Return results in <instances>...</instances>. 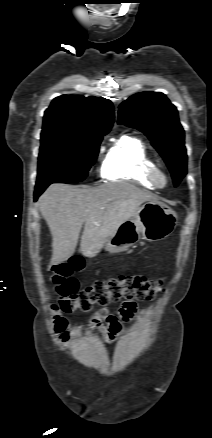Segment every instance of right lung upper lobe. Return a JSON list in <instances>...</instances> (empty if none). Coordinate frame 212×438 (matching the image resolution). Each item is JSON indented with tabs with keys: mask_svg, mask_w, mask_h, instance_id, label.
Wrapping results in <instances>:
<instances>
[{
	"mask_svg": "<svg viewBox=\"0 0 212 438\" xmlns=\"http://www.w3.org/2000/svg\"><path fill=\"white\" fill-rule=\"evenodd\" d=\"M113 121V107L108 99L62 95L45 111L41 134L105 135Z\"/></svg>",
	"mask_w": 212,
	"mask_h": 438,
	"instance_id": "right-lung-upper-lobe-1",
	"label": "right lung upper lobe"
}]
</instances>
